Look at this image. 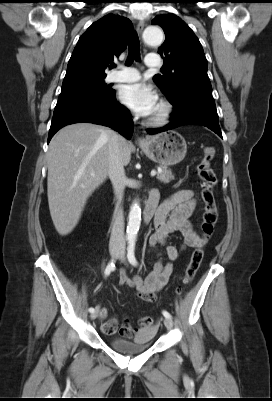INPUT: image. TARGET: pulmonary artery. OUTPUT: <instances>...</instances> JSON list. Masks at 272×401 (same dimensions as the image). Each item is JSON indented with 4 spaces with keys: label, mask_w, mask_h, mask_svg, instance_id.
Returning <instances> with one entry per match:
<instances>
[{
    "label": "pulmonary artery",
    "mask_w": 272,
    "mask_h": 401,
    "mask_svg": "<svg viewBox=\"0 0 272 401\" xmlns=\"http://www.w3.org/2000/svg\"><path fill=\"white\" fill-rule=\"evenodd\" d=\"M145 63L148 67H159L160 59L157 55H149L146 57ZM139 78L140 73L136 69L117 64L116 70L107 76V81L110 83H128L137 81Z\"/></svg>",
    "instance_id": "obj_1"
}]
</instances>
